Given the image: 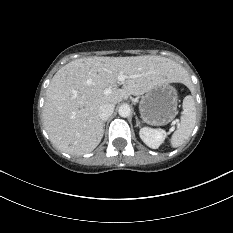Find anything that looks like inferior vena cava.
<instances>
[{"label":"inferior vena cava","mask_w":233,"mask_h":233,"mask_svg":"<svg viewBox=\"0 0 233 233\" xmlns=\"http://www.w3.org/2000/svg\"><path fill=\"white\" fill-rule=\"evenodd\" d=\"M115 105L111 103L103 104L98 110L99 118L102 121H106L114 112Z\"/></svg>","instance_id":"inferior-vena-cava-1"}]
</instances>
